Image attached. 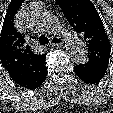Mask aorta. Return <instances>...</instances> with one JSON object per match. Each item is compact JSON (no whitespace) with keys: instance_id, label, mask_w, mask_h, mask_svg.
<instances>
[{"instance_id":"1","label":"aorta","mask_w":113,"mask_h":113,"mask_svg":"<svg viewBox=\"0 0 113 113\" xmlns=\"http://www.w3.org/2000/svg\"><path fill=\"white\" fill-rule=\"evenodd\" d=\"M40 17L45 21L48 30L57 33L62 32L66 38V52L72 62L84 64L88 61V50L86 44L75 32L64 29L57 19L49 12L41 11Z\"/></svg>"}]
</instances>
